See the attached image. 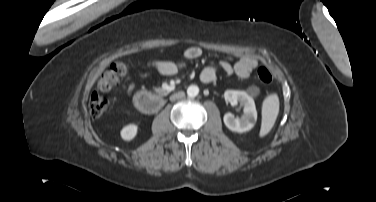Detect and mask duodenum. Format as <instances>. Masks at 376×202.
<instances>
[{"label": "duodenum", "mask_w": 376, "mask_h": 202, "mask_svg": "<svg viewBox=\"0 0 376 202\" xmlns=\"http://www.w3.org/2000/svg\"><path fill=\"white\" fill-rule=\"evenodd\" d=\"M163 94V91L160 94H151L149 92L137 93L133 97L134 106L137 110L146 114L156 113L162 107Z\"/></svg>", "instance_id": "duodenum-1"}]
</instances>
